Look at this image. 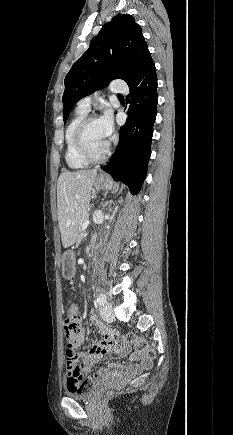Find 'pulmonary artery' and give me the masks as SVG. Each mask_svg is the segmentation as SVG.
I'll return each mask as SVG.
<instances>
[{"mask_svg": "<svg viewBox=\"0 0 233 435\" xmlns=\"http://www.w3.org/2000/svg\"><path fill=\"white\" fill-rule=\"evenodd\" d=\"M111 91L117 93L118 95H125L128 90L126 83L123 78L113 79L111 82ZM91 97L87 96L78 101V109L83 110L88 113L90 110Z\"/></svg>", "mask_w": 233, "mask_h": 435, "instance_id": "pulmonary-artery-1", "label": "pulmonary artery"}]
</instances>
